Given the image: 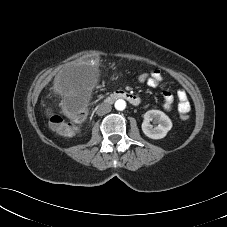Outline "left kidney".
Wrapping results in <instances>:
<instances>
[{"label": "left kidney", "mask_w": 227, "mask_h": 227, "mask_svg": "<svg viewBox=\"0 0 227 227\" xmlns=\"http://www.w3.org/2000/svg\"><path fill=\"white\" fill-rule=\"evenodd\" d=\"M154 121L156 126L150 124V121ZM172 128V121L170 118L159 110H149L144 114V121L142 123L143 133L151 139L164 138L168 131Z\"/></svg>", "instance_id": "5707ae66"}]
</instances>
